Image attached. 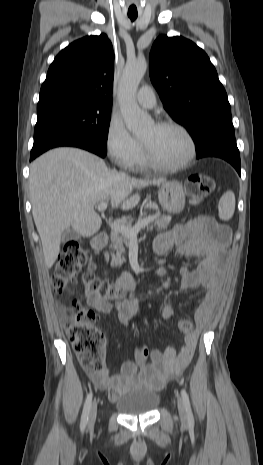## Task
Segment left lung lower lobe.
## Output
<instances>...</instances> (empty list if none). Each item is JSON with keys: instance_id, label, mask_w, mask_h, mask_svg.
Returning a JSON list of instances; mask_svg holds the SVG:
<instances>
[{"instance_id": "1", "label": "left lung lower lobe", "mask_w": 263, "mask_h": 465, "mask_svg": "<svg viewBox=\"0 0 263 465\" xmlns=\"http://www.w3.org/2000/svg\"><path fill=\"white\" fill-rule=\"evenodd\" d=\"M220 157L228 161L241 174L240 154L237 148L235 135L221 133L212 136L207 143L196 151V158Z\"/></svg>"}]
</instances>
